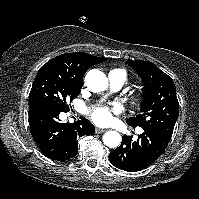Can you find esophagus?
Masks as SVG:
<instances>
[{"label": "esophagus", "instance_id": "34e87169", "mask_svg": "<svg viewBox=\"0 0 199 199\" xmlns=\"http://www.w3.org/2000/svg\"><path fill=\"white\" fill-rule=\"evenodd\" d=\"M106 130L105 129H101V128H96V130H95V132L97 133V134H101V133H103V132H105Z\"/></svg>", "mask_w": 199, "mask_h": 199}]
</instances>
